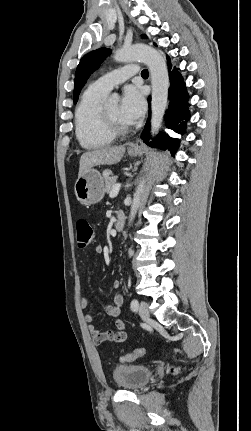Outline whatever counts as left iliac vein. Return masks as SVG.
I'll return each instance as SVG.
<instances>
[{
    "instance_id": "left-iliac-vein-1",
    "label": "left iliac vein",
    "mask_w": 251,
    "mask_h": 431,
    "mask_svg": "<svg viewBox=\"0 0 251 431\" xmlns=\"http://www.w3.org/2000/svg\"><path fill=\"white\" fill-rule=\"evenodd\" d=\"M139 315L143 319H148L150 317V312H149L148 304L146 302H144V301L140 302V305H139Z\"/></svg>"
}]
</instances>
